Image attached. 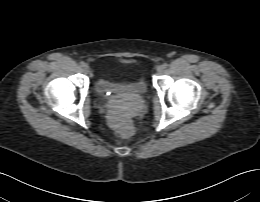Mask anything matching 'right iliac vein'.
<instances>
[{"mask_svg":"<svg viewBox=\"0 0 260 202\" xmlns=\"http://www.w3.org/2000/svg\"><path fill=\"white\" fill-rule=\"evenodd\" d=\"M83 71H84L86 74L90 73V67H89L88 65H84V66H83Z\"/></svg>","mask_w":260,"mask_h":202,"instance_id":"right-iliac-vein-1","label":"right iliac vein"}]
</instances>
